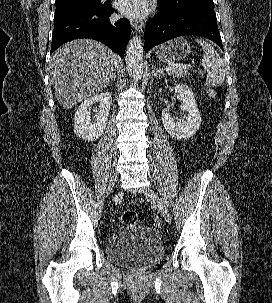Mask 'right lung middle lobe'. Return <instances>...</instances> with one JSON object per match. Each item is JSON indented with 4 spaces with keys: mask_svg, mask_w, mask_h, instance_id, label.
I'll return each mask as SVG.
<instances>
[{
    "mask_svg": "<svg viewBox=\"0 0 272 303\" xmlns=\"http://www.w3.org/2000/svg\"><path fill=\"white\" fill-rule=\"evenodd\" d=\"M105 5L100 0H69L56 3L55 18L86 10H101Z\"/></svg>",
    "mask_w": 272,
    "mask_h": 303,
    "instance_id": "1",
    "label": "right lung middle lobe"
}]
</instances>
